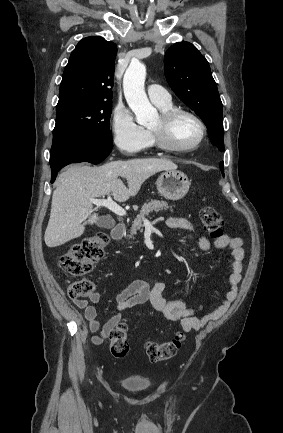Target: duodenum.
Wrapping results in <instances>:
<instances>
[{"mask_svg": "<svg viewBox=\"0 0 283 433\" xmlns=\"http://www.w3.org/2000/svg\"><path fill=\"white\" fill-rule=\"evenodd\" d=\"M126 226L123 223L116 224L111 230V237L113 240H120L125 235Z\"/></svg>", "mask_w": 283, "mask_h": 433, "instance_id": "duodenum-1", "label": "duodenum"}]
</instances>
